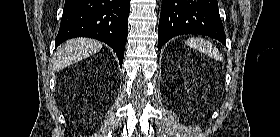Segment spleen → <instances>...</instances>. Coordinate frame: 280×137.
<instances>
[{"mask_svg": "<svg viewBox=\"0 0 280 137\" xmlns=\"http://www.w3.org/2000/svg\"><path fill=\"white\" fill-rule=\"evenodd\" d=\"M186 44L192 48L199 50L202 53L209 55L210 57H213L218 61L223 60V56L220 54L218 49L208 40L202 38H189L186 41Z\"/></svg>", "mask_w": 280, "mask_h": 137, "instance_id": "spleen-1", "label": "spleen"}]
</instances>
